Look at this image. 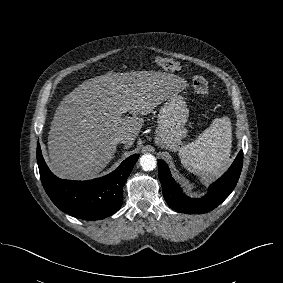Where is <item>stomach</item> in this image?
<instances>
[{
  "mask_svg": "<svg viewBox=\"0 0 283 283\" xmlns=\"http://www.w3.org/2000/svg\"><path fill=\"white\" fill-rule=\"evenodd\" d=\"M188 116L189 110L183 97L172 95L159 111L155 144L172 151L177 150L187 135L185 123Z\"/></svg>",
  "mask_w": 283,
  "mask_h": 283,
  "instance_id": "0dacf381",
  "label": "stomach"
}]
</instances>
